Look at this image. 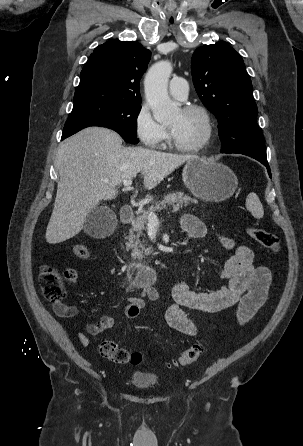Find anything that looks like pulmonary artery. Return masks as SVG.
Listing matches in <instances>:
<instances>
[{
	"label": "pulmonary artery",
	"instance_id": "obj_1",
	"mask_svg": "<svg viewBox=\"0 0 303 446\" xmlns=\"http://www.w3.org/2000/svg\"><path fill=\"white\" fill-rule=\"evenodd\" d=\"M169 93L178 100H185L188 96V83L182 77H174L169 83Z\"/></svg>",
	"mask_w": 303,
	"mask_h": 446
}]
</instances>
